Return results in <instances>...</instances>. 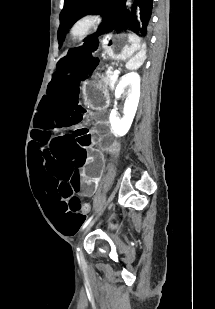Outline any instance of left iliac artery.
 <instances>
[{
  "label": "left iliac artery",
  "instance_id": "left-iliac-artery-1",
  "mask_svg": "<svg viewBox=\"0 0 215 309\" xmlns=\"http://www.w3.org/2000/svg\"><path fill=\"white\" fill-rule=\"evenodd\" d=\"M92 218H93V216L90 217V218L83 224V226L81 227V231L84 230V228L91 222ZM79 250H80V249L77 248V251H79Z\"/></svg>",
  "mask_w": 215,
  "mask_h": 309
}]
</instances>
